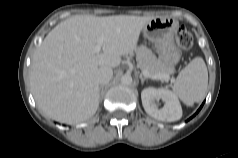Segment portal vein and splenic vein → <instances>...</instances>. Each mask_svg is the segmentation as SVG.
I'll return each instance as SVG.
<instances>
[{
    "label": "portal vein and splenic vein",
    "instance_id": "portal-vein-and-splenic-vein-1",
    "mask_svg": "<svg viewBox=\"0 0 238 158\" xmlns=\"http://www.w3.org/2000/svg\"><path fill=\"white\" fill-rule=\"evenodd\" d=\"M104 42V37H99L97 40L96 45L94 46V52L99 53L101 51L102 45ZM142 73L145 77L151 78L154 80H163V81H169V74H150L147 70H142Z\"/></svg>",
    "mask_w": 238,
    "mask_h": 158
}]
</instances>
